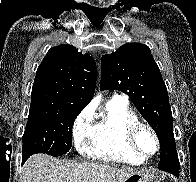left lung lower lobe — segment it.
<instances>
[{
  "label": "left lung lower lobe",
  "mask_w": 196,
  "mask_h": 182,
  "mask_svg": "<svg viewBox=\"0 0 196 182\" xmlns=\"http://www.w3.org/2000/svg\"><path fill=\"white\" fill-rule=\"evenodd\" d=\"M161 161H173L175 159H177V153L175 151H173L172 149H168V148H162L161 149ZM175 176H179V173H177Z\"/></svg>",
  "instance_id": "1"
}]
</instances>
